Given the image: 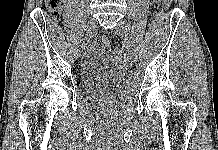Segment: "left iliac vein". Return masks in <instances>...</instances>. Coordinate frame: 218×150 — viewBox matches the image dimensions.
Here are the masks:
<instances>
[{
	"label": "left iliac vein",
	"instance_id": "4c4485c4",
	"mask_svg": "<svg viewBox=\"0 0 218 150\" xmlns=\"http://www.w3.org/2000/svg\"><path fill=\"white\" fill-rule=\"evenodd\" d=\"M118 28L120 30L123 42L127 45L130 44V33H131L130 25L126 21L120 20L118 22ZM133 57H134L133 48L130 46L128 48V58H127V61L130 65L133 63L132 62Z\"/></svg>",
	"mask_w": 218,
	"mask_h": 150
}]
</instances>
